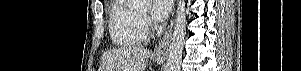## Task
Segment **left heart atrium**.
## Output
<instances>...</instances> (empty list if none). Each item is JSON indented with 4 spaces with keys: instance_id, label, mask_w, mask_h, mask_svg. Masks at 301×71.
I'll list each match as a JSON object with an SVG mask.
<instances>
[{
    "instance_id": "1",
    "label": "left heart atrium",
    "mask_w": 301,
    "mask_h": 71,
    "mask_svg": "<svg viewBox=\"0 0 301 71\" xmlns=\"http://www.w3.org/2000/svg\"><path fill=\"white\" fill-rule=\"evenodd\" d=\"M150 4L152 15L159 20L167 17L172 8V0H151Z\"/></svg>"
}]
</instances>
